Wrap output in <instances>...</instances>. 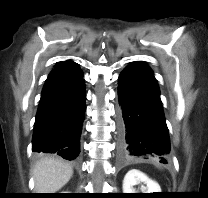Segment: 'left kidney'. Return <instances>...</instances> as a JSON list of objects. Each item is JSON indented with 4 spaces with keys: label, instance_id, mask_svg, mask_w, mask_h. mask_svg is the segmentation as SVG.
I'll list each match as a JSON object with an SVG mask.
<instances>
[{
    "label": "left kidney",
    "instance_id": "5707ae66",
    "mask_svg": "<svg viewBox=\"0 0 208 198\" xmlns=\"http://www.w3.org/2000/svg\"><path fill=\"white\" fill-rule=\"evenodd\" d=\"M140 183L146 184V187L142 186L140 189L142 193L161 192V188L156 181H153L141 171L132 169L124 177L123 193H139L135 191L134 186Z\"/></svg>",
    "mask_w": 208,
    "mask_h": 198
}]
</instances>
